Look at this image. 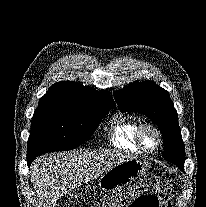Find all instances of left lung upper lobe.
<instances>
[{
  "label": "left lung upper lobe",
  "mask_w": 206,
  "mask_h": 207,
  "mask_svg": "<svg viewBox=\"0 0 206 207\" xmlns=\"http://www.w3.org/2000/svg\"><path fill=\"white\" fill-rule=\"evenodd\" d=\"M114 97L121 111L140 112L156 123L163 136L162 156L184 168L185 149L178 124V115L169 97L168 91L152 81L134 82Z\"/></svg>",
  "instance_id": "left-lung-upper-lobe-1"
}]
</instances>
